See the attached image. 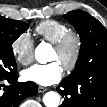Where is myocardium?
<instances>
[{"mask_svg": "<svg viewBox=\"0 0 107 107\" xmlns=\"http://www.w3.org/2000/svg\"><path fill=\"white\" fill-rule=\"evenodd\" d=\"M54 49L60 54L69 49L71 50L69 59L61 63L67 72H71L76 68L81 57V36L76 31L70 30L66 32L56 43H54Z\"/></svg>", "mask_w": 107, "mask_h": 107, "instance_id": "myocardium-1", "label": "myocardium"}]
</instances>
